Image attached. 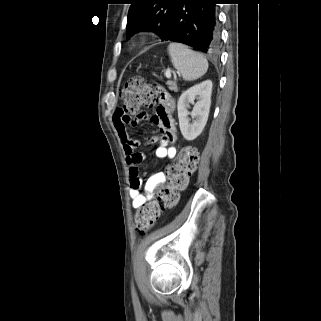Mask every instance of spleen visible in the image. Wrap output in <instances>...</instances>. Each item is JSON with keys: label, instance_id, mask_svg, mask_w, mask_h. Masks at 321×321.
I'll return each instance as SVG.
<instances>
[{"label": "spleen", "instance_id": "3e777b00", "mask_svg": "<svg viewBox=\"0 0 321 321\" xmlns=\"http://www.w3.org/2000/svg\"><path fill=\"white\" fill-rule=\"evenodd\" d=\"M168 53L173 66L181 73L185 81H194L207 72V59L184 44L170 43Z\"/></svg>", "mask_w": 321, "mask_h": 321}]
</instances>
